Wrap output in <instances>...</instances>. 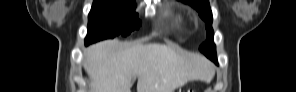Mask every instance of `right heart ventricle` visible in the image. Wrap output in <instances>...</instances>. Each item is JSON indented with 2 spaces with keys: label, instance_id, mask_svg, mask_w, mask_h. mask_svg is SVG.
<instances>
[{
  "label": "right heart ventricle",
  "instance_id": "1",
  "mask_svg": "<svg viewBox=\"0 0 296 92\" xmlns=\"http://www.w3.org/2000/svg\"><path fill=\"white\" fill-rule=\"evenodd\" d=\"M176 21L178 22V23H182V22H184V18H182V17H177L176 18Z\"/></svg>",
  "mask_w": 296,
  "mask_h": 92
}]
</instances>
